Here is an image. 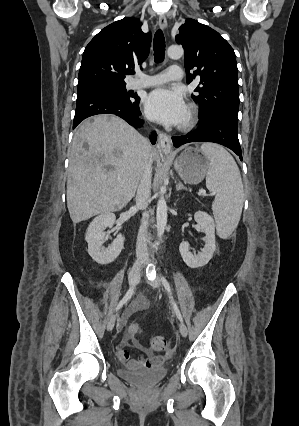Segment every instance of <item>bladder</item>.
<instances>
[{"label":"bladder","mask_w":299,"mask_h":426,"mask_svg":"<svg viewBox=\"0 0 299 426\" xmlns=\"http://www.w3.org/2000/svg\"><path fill=\"white\" fill-rule=\"evenodd\" d=\"M167 374L168 369L166 367L140 370L122 369L119 371L120 377L140 387L153 386L163 380Z\"/></svg>","instance_id":"bladder-1"}]
</instances>
